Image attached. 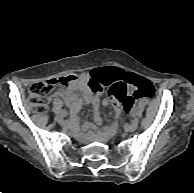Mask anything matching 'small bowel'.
Here are the masks:
<instances>
[{
    "mask_svg": "<svg viewBox=\"0 0 194 193\" xmlns=\"http://www.w3.org/2000/svg\"><path fill=\"white\" fill-rule=\"evenodd\" d=\"M125 71L116 67H105V68H95L89 72L83 73L79 78L77 85L73 88L69 89H61L56 92V96L65 100V102L70 107L71 113L76 114L81 109L82 105H91L93 108V120L96 124L100 125L102 123V118L100 115V105L106 106L107 101L99 102L98 97L95 93L92 92L90 88L91 82H96L100 84L108 83L114 79H121L125 75ZM129 93L136 94L144 90L140 88L138 85H128ZM115 111L117 115V119L121 112V107L116 105ZM94 128V126L90 123L85 124L82 129L74 126L75 131L83 136L85 132L89 129ZM117 129V122L106 125L99 132V137L101 139H109Z\"/></svg>",
    "mask_w": 194,
    "mask_h": 193,
    "instance_id": "c3829d8e",
    "label": "small bowel"
}]
</instances>
